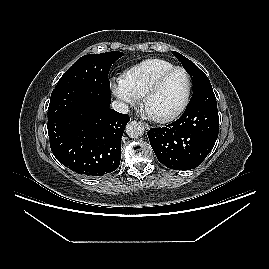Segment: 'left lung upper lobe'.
Returning a JSON list of instances; mask_svg holds the SVG:
<instances>
[{
	"label": "left lung upper lobe",
	"mask_w": 269,
	"mask_h": 269,
	"mask_svg": "<svg viewBox=\"0 0 269 269\" xmlns=\"http://www.w3.org/2000/svg\"><path fill=\"white\" fill-rule=\"evenodd\" d=\"M172 53L182 63L185 70L189 73L194 86L193 94L207 86H211L207 76L192 61L178 52L173 51Z\"/></svg>",
	"instance_id": "1"
}]
</instances>
